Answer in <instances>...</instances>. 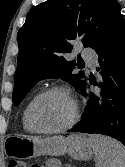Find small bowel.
Wrapping results in <instances>:
<instances>
[{
  "label": "small bowel",
  "mask_w": 125,
  "mask_h": 167,
  "mask_svg": "<svg viewBox=\"0 0 125 167\" xmlns=\"http://www.w3.org/2000/svg\"><path fill=\"white\" fill-rule=\"evenodd\" d=\"M41 167H58V166H57L55 160H48V161H46V163H45L43 166H41Z\"/></svg>",
  "instance_id": "1"
}]
</instances>
